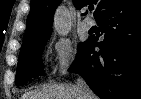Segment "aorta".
Returning <instances> with one entry per match:
<instances>
[{
  "mask_svg": "<svg viewBox=\"0 0 141 99\" xmlns=\"http://www.w3.org/2000/svg\"><path fill=\"white\" fill-rule=\"evenodd\" d=\"M54 29L60 36H67L70 29V17L67 9L59 7L54 15Z\"/></svg>",
  "mask_w": 141,
  "mask_h": 99,
  "instance_id": "obj_1",
  "label": "aorta"
}]
</instances>
